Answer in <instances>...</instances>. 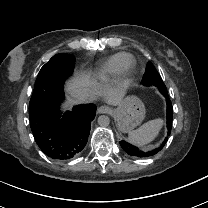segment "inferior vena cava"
<instances>
[{
    "label": "inferior vena cava",
    "mask_w": 208,
    "mask_h": 208,
    "mask_svg": "<svg viewBox=\"0 0 208 208\" xmlns=\"http://www.w3.org/2000/svg\"><path fill=\"white\" fill-rule=\"evenodd\" d=\"M78 102H86L93 99V93L89 88L80 87L71 93Z\"/></svg>",
    "instance_id": "inferior-vena-cava-1"
}]
</instances>
